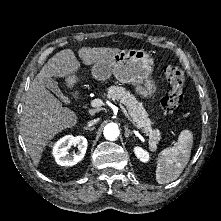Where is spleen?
<instances>
[{"label":"spleen","instance_id":"3e777b00","mask_svg":"<svg viewBox=\"0 0 221 221\" xmlns=\"http://www.w3.org/2000/svg\"><path fill=\"white\" fill-rule=\"evenodd\" d=\"M193 145V134L190 130H183L178 136L176 146L165 148L157 158L156 181L165 184L176 180L190 159Z\"/></svg>","mask_w":221,"mask_h":221}]
</instances>
